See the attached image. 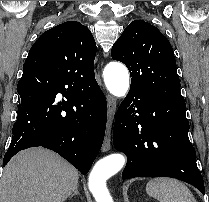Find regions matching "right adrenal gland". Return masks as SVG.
<instances>
[{
	"label": "right adrenal gland",
	"mask_w": 209,
	"mask_h": 202,
	"mask_svg": "<svg viewBox=\"0 0 209 202\" xmlns=\"http://www.w3.org/2000/svg\"><path fill=\"white\" fill-rule=\"evenodd\" d=\"M74 195H80L79 191H78V187L75 189V191L70 195V199L74 196Z\"/></svg>",
	"instance_id": "1"
}]
</instances>
